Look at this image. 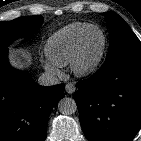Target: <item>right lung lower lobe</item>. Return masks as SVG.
Here are the masks:
<instances>
[{"label":"right lung lower lobe","mask_w":141,"mask_h":141,"mask_svg":"<svg viewBox=\"0 0 141 141\" xmlns=\"http://www.w3.org/2000/svg\"><path fill=\"white\" fill-rule=\"evenodd\" d=\"M0 49V141H44L51 108L64 97V84L42 87L13 69Z\"/></svg>","instance_id":"right-lung-lower-lobe-1"}]
</instances>
